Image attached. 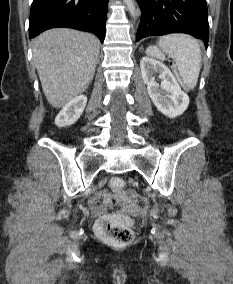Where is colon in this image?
Returning <instances> with one entry per match:
<instances>
[{
    "label": "colon",
    "instance_id": "1",
    "mask_svg": "<svg viewBox=\"0 0 233 284\" xmlns=\"http://www.w3.org/2000/svg\"><path fill=\"white\" fill-rule=\"evenodd\" d=\"M146 51L148 56L151 58L158 60L166 59L163 52L157 46H149ZM169 64L172 68H174L171 61ZM179 81L183 87H186V84L183 83L182 80ZM110 186L116 193L117 199L122 201V203H124L129 209H140V202L124 193L123 189L125 187V182L122 178H111ZM96 232L100 237L114 244L125 245L134 240V232L128 224L121 217L112 214L103 216L97 221Z\"/></svg>",
    "mask_w": 233,
    "mask_h": 284
}]
</instances>
